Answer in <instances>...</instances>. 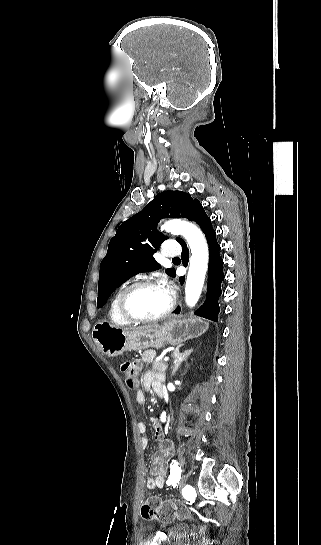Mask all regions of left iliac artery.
I'll list each match as a JSON object with an SVG mask.
<instances>
[{"mask_svg": "<svg viewBox=\"0 0 321 545\" xmlns=\"http://www.w3.org/2000/svg\"><path fill=\"white\" fill-rule=\"evenodd\" d=\"M180 476H181V467L176 460H173L171 462L170 476H169V479L166 481V484L170 485L173 482H177L178 480H180Z\"/></svg>", "mask_w": 321, "mask_h": 545, "instance_id": "obj_1", "label": "left iliac artery"}]
</instances>
